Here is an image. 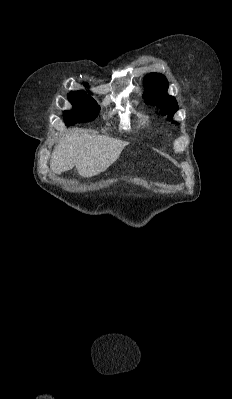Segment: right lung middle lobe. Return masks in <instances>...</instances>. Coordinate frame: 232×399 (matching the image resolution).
I'll use <instances>...</instances> for the list:
<instances>
[{"label":"right lung middle lobe","mask_w":232,"mask_h":399,"mask_svg":"<svg viewBox=\"0 0 232 399\" xmlns=\"http://www.w3.org/2000/svg\"><path fill=\"white\" fill-rule=\"evenodd\" d=\"M68 100L73 105V109L64 112L67 126L90 122L98 116L100 106L90 95H68Z\"/></svg>","instance_id":"right-lung-middle-lobe-1"}]
</instances>
